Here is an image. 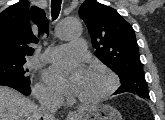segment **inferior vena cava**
Wrapping results in <instances>:
<instances>
[{"label": "inferior vena cava", "mask_w": 165, "mask_h": 120, "mask_svg": "<svg viewBox=\"0 0 165 120\" xmlns=\"http://www.w3.org/2000/svg\"><path fill=\"white\" fill-rule=\"evenodd\" d=\"M41 107L43 120H55V113L62 103L60 95L42 91L36 95Z\"/></svg>", "instance_id": "obj_1"}]
</instances>
